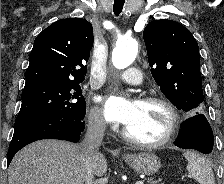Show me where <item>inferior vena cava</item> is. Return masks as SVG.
<instances>
[{
  "mask_svg": "<svg viewBox=\"0 0 224 184\" xmlns=\"http://www.w3.org/2000/svg\"><path fill=\"white\" fill-rule=\"evenodd\" d=\"M106 122L102 116H93L89 119L85 138L79 145L80 157L85 169V184L94 183L92 159L98 155L102 144Z\"/></svg>",
  "mask_w": 224,
  "mask_h": 184,
  "instance_id": "1",
  "label": "inferior vena cava"
}]
</instances>
